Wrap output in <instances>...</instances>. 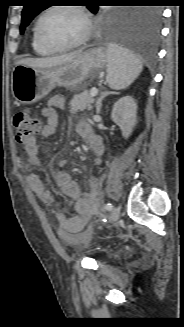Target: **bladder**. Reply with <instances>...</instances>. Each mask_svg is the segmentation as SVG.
I'll return each mask as SVG.
<instances>
[{
	"instance_id": "31cf9c89",
	"label": "bladder",
	"mask_w": 184,
	"mask_h": 327,
	"mask_svg": "<svg viewBox=\"0 0 184 327\" xmlns=\"http://www.w3.org/2000/svg\"><path fill=\"white\" fill-rule=\"evenodd\" d=\"M94 239L93 232H84L75 237L71 246L81 249L83 252H90L94 249Z\"/></svg>"
}]
</instances>
